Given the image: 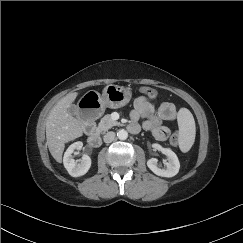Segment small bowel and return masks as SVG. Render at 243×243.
Masks as SVG:
<instances>
[{
    "mask_svg": "<svg viewBox=\"0 0 243 243\" xmlns=\"http://www.w3.org/2000/svg\"><path fill=\"white\" fill-rule=\"evenodd\" d=\"M177 118V110L173 103L162 102L156 106L150 99L140 96L135 100L134 110L131 113L129 130L136 133L139 129L138 120L142 119L144 129L151 131L154 137L165 141L170 136L168 128L162 125L163 121H174Z\"/></svg>",
    "mask_w": 243,
    "mask_h": 243,
    "instance_id": "c3829d8e",
    "label": "small bowel"
}]
</instances>
